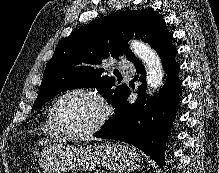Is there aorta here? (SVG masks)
Segmentation results:
<instances>
[{"label": "aorta", "mask_w": 219, "mask_h": 173, "mask_svg": "<svg viewBox=\"0 0 219 173\" xmlns=\"http://www.w3.org/2000/svg\"><path fill=\"white\" fill-rule=\"evenodd\" d=\"M132 52L143 62L146 68L147 91L152 95L163 84V67L159 55L146 43L133 40L129 43Z\"/></svg>", "instance_id": "762f6f07"}]
</instances>
